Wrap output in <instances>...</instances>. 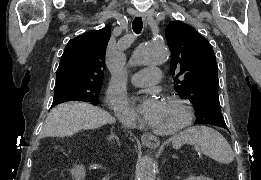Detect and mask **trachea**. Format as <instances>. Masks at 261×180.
<instances>
[{
	"instance_id": "trachea-1",
	"label": "trachea",
	"mask_w": 261,
	"mask_h": 180,
	"mask_svg": "<svg viewBox=\"0 0 261 180\" xmlns=\"http://www.w3.org/2000/svg\"><path fill=\"white\" fill-rule=\"evenodd\" d=\"M132 28L136 34H139L141 32V30L143 28V21L140 16H136L134 18L133 23H132Z\"/></svg>"
}]
</instances>
